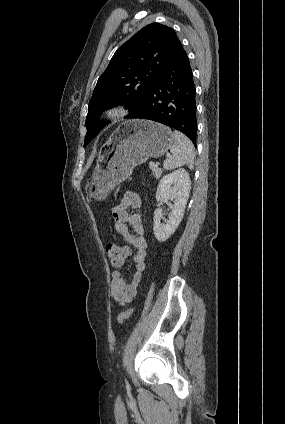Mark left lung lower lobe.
Instances as JSON below:
<instances>
[{
	"label": "left lung lower lobe",
	"instance_id": "0a47b994",
	"mask_svg": "<svg viewBox=\"0 0 285 424\" xmlns=\"http://www.w3.org/2000/svg\"><path fill=\"white\" fill-rule=\"evenodd\" d=\"M196 89L181 42L143 100L125 118L153 120L184 133L196 146Z\"/></svg>",
	"mask_w": 285,
	"mask_h": 424
}]
</instances>
